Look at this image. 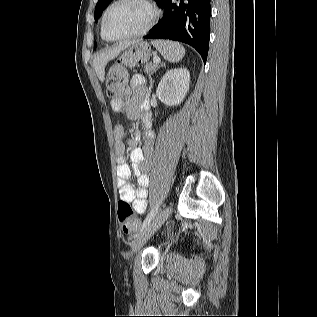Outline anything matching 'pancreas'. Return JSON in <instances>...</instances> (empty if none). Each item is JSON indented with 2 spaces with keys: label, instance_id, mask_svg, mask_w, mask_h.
I'll use <instances>...</instances> for the list:
<instances>
[{
  "label": "pancreas",
  "instance_id": "1",
  "mask_svg": "<svg viewBox=\"0 0 317 317\" xmlns=\"http://www.w3.org/2000/svg\"><path fill=\"white\" fill-rule=\"evenodd\" d=\"M157 69V64L154 61H148L144 66V70L149 76L154 73Z\"/></svg>",
  "mask_w": 317,
  "mask_h": 317
}]
</instances>
